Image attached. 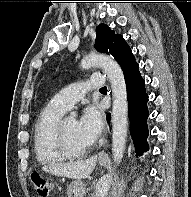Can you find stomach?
I'll list each match as a JSON object with an SVG mask.
<instances>
[{
	"label": "stomach",
	"instance_id": "0dacf381",
	"mask_svg": "<svg viewBox=\"0 0 191 197\" xmlns=\"http://www.w3.org/2000/svg\"><path fill=\"white\" fill-rule=\"evenodd\" d=\"M107 160H99L100 166L107 165ZM86 191L85 184L81 180L72 181L67 188L68 197H84Z\"/></svg>",
	"mask_w": 191,
	"mask_h": 197
}]
</instances>
